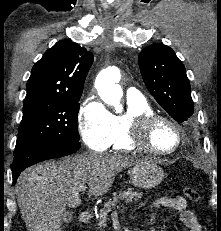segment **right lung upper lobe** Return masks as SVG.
Masks as SVG:
<instances>
[{
	"label": "right lung upper lobe",
	"instance_id": "right-lung-upper-lobe-1",
	"mask_svg": "<svg viewBox=\"0 0 221 231\" xmlns=\"http://www.w3.org/2000/svg\"><path fill=\"white\" fill-rule=\"evenodd\" d=\"M93 63V54L78 44L61 40L35 63L24 101L78 98Z\"/></svg>",
	"mask_w": 221,
	"mask_h": 231
}]
</instances>
